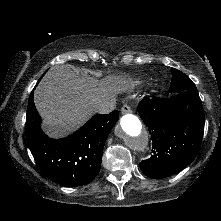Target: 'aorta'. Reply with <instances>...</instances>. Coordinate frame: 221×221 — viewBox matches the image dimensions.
Wrapping results in <instances>:
<instances>
[{
    "instance_id": "aorta-1",
    "label": "aorta",
    "mask_w": 221,
    "mask_h": 221,
    "mask_svg": "<svg viewBox=\"0 0 221 221\" xmlns=\"http://www.w3.org/2000/svg\"><path fill=\"white\" fill-rule=\"evenodd\" d=\"M115 133L124 140L127 146L136 151H144L148 146V135L139 118L133 114H125Z\"/></svg>"
}]
</instances>
